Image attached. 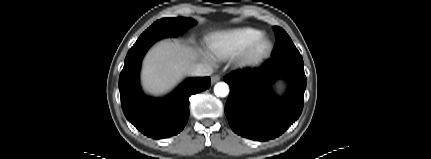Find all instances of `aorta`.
Masks as SVG:
<instances>
[{
	"label": "aorta",
	"mask_w": 431,
	"mask_h": 159,
	"mask_svg": "<svg viewBox=\"0 0 431 159\" xmlns=\"http://www.w3.org/2000/svg\"><path fill=\"white\" fill-rule=\"evenodd\" d=\"M216 96L225 97L229 93V87L225 82H219L214 86Z\"/></svg>",
	"instance_id": "762f6f07"
}]
</instances>
